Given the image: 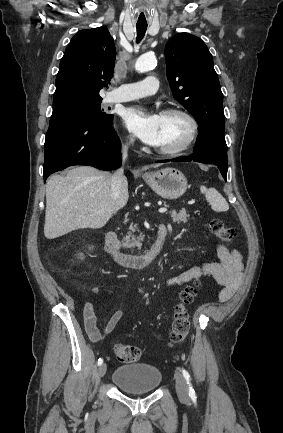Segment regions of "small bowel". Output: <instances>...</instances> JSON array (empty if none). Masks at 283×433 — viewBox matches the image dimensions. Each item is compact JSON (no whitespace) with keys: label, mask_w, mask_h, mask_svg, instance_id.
<instances>
[{"label":"small bowel","mask_w":283,"mask_h":433,"mask_svg":"<svg viewBox=\"0 0 283 433\" xmlns=\"http://www.w3.org/2000/svg\"><path fill=\"white\" fill-rule=\"evenodd\" d=\"M219 262H207L193 266L166 280L168 286H177L191 282L203 274H208L223 287L218 295L220 301L228 300L238 289L243 278L242 255L236 249H229L225 245L217 247ZM122 317V311L117 310L109 318L104 334L111 333ZM85 330L91 341L97 342L102 333L97 327V318L94 311V303L88 301L83 309Z\"/></svg>","instance_id":"1"}]
</instances>
